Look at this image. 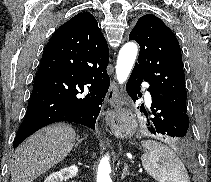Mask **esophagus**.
Segmentation results:
<instances>
[{"instance_id":"1","label":"esophagus","mask_w":211,"mask_h":182,"mask_svg":"<svg viewBox=\"0 0 211 182\" xmlns=\"http://www.w3.org/2000/svg\"><path fill=\"white\" fill-rule=\"evenodd\" d=\"M106 99L112 106L115 107H118L124 103L125 97L121 94L115 82L111 83L106 95Z\"/></svg>"}]
</instances>
